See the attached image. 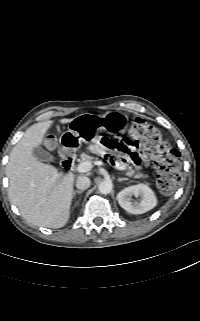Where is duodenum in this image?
<instances>
[{"instance_id":"410a0bca","label":"duodenum","mask_w":200,"mask_h":321,"mask_svg":"<svg viewBox=\"0 0 200 321\" xmlns=\"http://www.w3.org/2000/svg\"><path fill=\"white\" fill-rule=\"evenodd\" d=\"M62 167L66 170V171H71L73 169L74 166V159L71 155L69 154H64L62 156Z\"/></svg>"}]
</instances>
